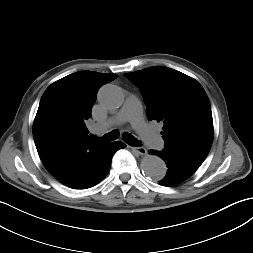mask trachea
Returning a JSON list of instances; mask_svg holds the SVG:
<instances>
[{
  "mask_svg": "<svg viewBox=\"0 0 253 253\" xmlns=\"http://www.w3.org/2000/svg\"><path fill=\"white\" fill-rule=\"evenodd\" d=\"M118 136H119V132L117 130H113L107 133L106 135H104L101 139V142H110V141L116 140ZM91 138H94V136L91 135ZM123 139L130 146L138 147L141 145V143L130 133H124Z\"/></svg>",
  "mask_w": 253,
  "mask_h": 253,
  "instance_id": "3493384b",
  "label": "trachea"
}]
</instances>
